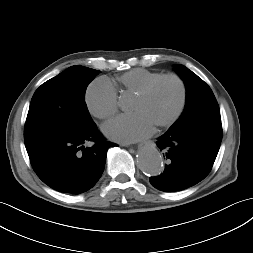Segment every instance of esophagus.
Here are the masks:
<instances>
[{
    "mask_svg": "<svg viewBox=\"0 0 253 253\" xmlns=\"http://www.w3.org/2000/svg\"><path fill=\"white\" fill-rule=\"evenodd\" d=\"M147 143H149V142H144V143H141V144H139V145L141 146V145H144V144H147Z\"/></svg>",
    "mask_w": 253,
    "mask_h": 253,
    "instance_id": "1",
    "label": "esophagus"
}]
</instances>
